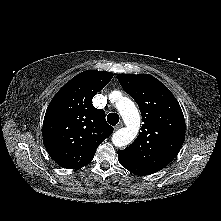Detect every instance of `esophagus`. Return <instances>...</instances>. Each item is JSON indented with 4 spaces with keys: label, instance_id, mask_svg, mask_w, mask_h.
Masks as SVG:
<instances>
[{
    "label": "esophagus",
    "instance_id": "1",
    "mask_svg": "<svg viewBox=\"0 0 221 221\" xmlns=\"http://www.w3.org/2000/svg\"><path fill=\"white\" fill-rule=\"evenodd\" d=\"M123 127V123H119L118 125L115 126V130H119L120 128Z\"/></svg>",
    "mask_w": 221,
    "mask_h": 221
}]
</instances>
